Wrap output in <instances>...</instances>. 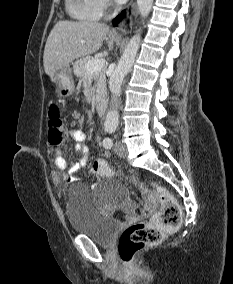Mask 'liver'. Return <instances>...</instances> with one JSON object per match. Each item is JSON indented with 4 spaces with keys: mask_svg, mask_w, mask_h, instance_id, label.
Listing matches in <instances>:
<instances>
[{
    "mask_svg": "<svg viewBox=\"0 0 233 284\" xmlns=\"http://www.w3.org/2000/svg\"><path fill=\"white\" fill-rule=\"evenodd\" d=\"M109 36L108 47L113 48L118 37L103 23L90 21H59L46 41L43 64L48 76L62 70L72 61L97 51Z\"/></svg>",
    "mask_w": 233,
    "mask_h": 284,
    "instance_id": "obj_1",
    "label": "liver"
}]
</instances>
